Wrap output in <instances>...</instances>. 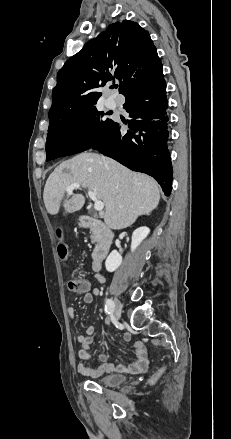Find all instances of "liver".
<instances>
[{
    "mask_svg": "<svg viewBox=\"0 0 231 439\" xmlns=\"http://www.w3.org/2000/svg\"><path fill=\"white\" fill-rule=\"evenodd\" d=\"M74 183L94 192L104 203V222L114 230L131 226L139 216L154 210L160 200L153 178L132 172L111 158L85 152L62 162L48 177L43 200L49 214H58L62 203L68 213L84 206L82 194L65 199L66 188Z\"/></svg>",
    "mask_w": 231,
    "mask_h": 439,
    "instance_id": "6515ba94",
    "label": "liver"
}]
</instances>
